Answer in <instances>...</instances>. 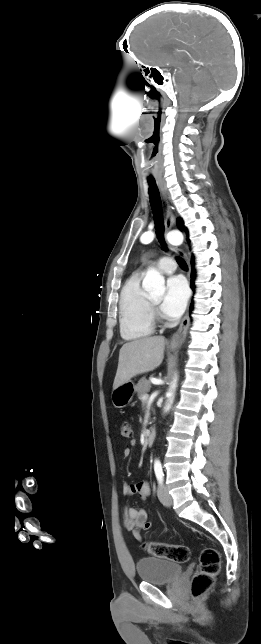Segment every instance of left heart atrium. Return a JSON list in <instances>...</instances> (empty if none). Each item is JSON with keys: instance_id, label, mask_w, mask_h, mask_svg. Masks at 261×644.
I'll return each mask as SVG.
<instances>
[{"instance_id": "1", "label": "left heart atrium", "mask_w": 261, "mask_h": 644, "mask_svg": "<svg viewBox=\"0 0 261 644\" xmlns=\"http://www.w3.org/2000/svg\"><path fill=\"white\" fill-rule=\"evenodd\" d=\"M187 299L188 289L184 279L180 276L170 277L160 306L162 313L169 318L179 317L186 307Z\"/></svg>"}]
</instances>
